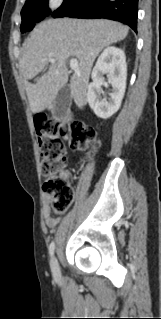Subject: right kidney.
I'll list each match as a JSON object with an SVG mask.
<instances>
[{"mask_svg":"<svg viewBox=\"0 0 161 319\" xmlns=\"http://www.w3.org/2000/svg\"><path fill=\"white\" fill-rule=\"evenodd\" d=\"M104 74L109 75L108 83L112 86L111 92L108 93L109 98L102 96ZM91 78L93 82L88 86L87 101L99 118L107 119L119 110L124 97L127 78L124 51L113 46L107 47L99 56Z\"/></svg>","mask_w":161,"mask_h":319,"instance_id":"right-kidney-1","label":"right kidney"}]
</instances>
